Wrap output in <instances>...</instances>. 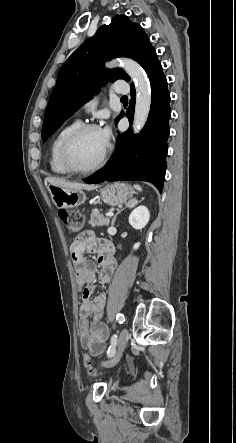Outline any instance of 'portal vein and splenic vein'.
Segmentation results:
<instances>
[{"instance_id":"obj_1","label":"portal vein and splenic vein","mask_w":236,"mask_h":443,"mask_svg":"<svg viewBox=\"0 0 236 443\" xmlns=\"http://www.w3.org/2000/svg\"><path fill=\"white\" fill-rule=\"evenodd\" d=\"M113 215H114L113 212H108V213H106V216H107V217H112Z\"/></svg>"}]
</instances>
